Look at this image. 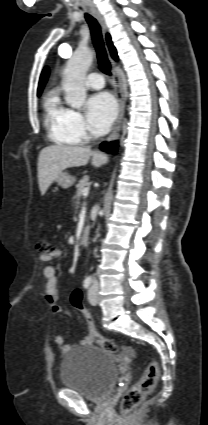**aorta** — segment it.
<instances>
[{
  "label": "aorta",
  "mask_w": 208,
  "mask_h": 425,
  "mask_svg": "<svg viewBox=\"0 0 208 425\" xmlns=\"http://www.w3.org/2000/svg\"><path fill=\"white\" fill-rule=\"evenodd\" d=\"M93 54L89 50L78 49L64 69L63 89L65 100L74 109H80L86 99L85 76L92 64Z\"/></svg>",
  "instance_id": "aorta-1"
}]
</instances>
